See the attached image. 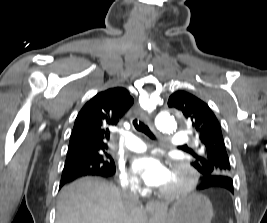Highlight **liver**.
Here are the masks:
<instances>
[{"label":"liver","instance_id":"6515ba94","mask_svg":"<svg viewBox=\"0 0 267 223\" xmlns=\"http://www.w3.org/2000/svg\"><path fill=\"white\" fill-rule=\"evenodd\" d=\"M55 223H144V211L126 208L114 184L85 177L62 188Z\"/></svg>","mask_w":267,"mask_h":223}]
</instances>
